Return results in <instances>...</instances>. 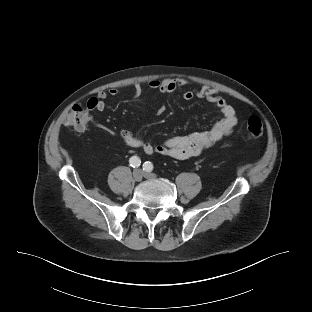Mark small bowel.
I'll return each instance as SVG.
<instances>
[{
  "label": "small bowel",
  "instance_id": "obj_1",
  "mask_svg": "<svg viewBox=\"0 0 312 312\" xmlns=\"http://www.w3.org/2000/svg\"><path fill=\"white\" fill-rule=\"evenodd\" d=\"M187 81L179 78L153 79L147 86L152 91H159L164 94L181 92L185 100L195 98L207 101L222 113V117L214 123L207 132L193 133L185 136H174L163 143L153 144L145 142L141 137L136 136L128 129H122L120 136L129 147L142 148L148 155H163L175 159H187L199 155L205 149L215 145L223 137L229 135L237 125L238 119L234 108L220 95L213 87L204 86L196 89L185 88ZM144 92L140 84L134 85V98L137 99ZM120 91L117 88H110L107 91H99L95 97L88 100L87 106L92 111H103L106 108V100L109 97L118 96ZM165 111V105H161L158 113Z\"/></svg>",
  "mask_w": 312,
  "mask_h": 312
}]
</instances>
